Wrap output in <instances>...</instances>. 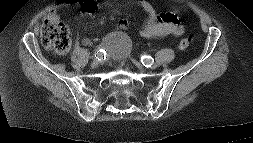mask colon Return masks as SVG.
<instances>
[{
  "instance_id": "obj_1",
  "label": "colon",
  "mask_w": 253,
  "mask_h": 143,
  "mask_svg": "<svg viewBox=\"0 0 253 143\" xmlns=\"http://www.w3.org/2000/svg\"><path fill=\"white\" fill-rule=\"evenodd\" d=\"M42 45L56 53H65L71 44V33L69 28L62 22L47 20L41 31ZM191 44L190 38H184L180 42L181 49H187Z\"/></svg>"
}]
</instances>
